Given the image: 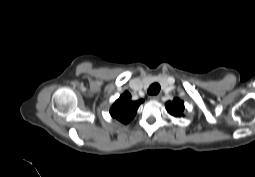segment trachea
I'll return each instance as SVG.
<instances>
[{
  "mask_svg": "<svg viewBox=\"0 0 255 177\" xmlns=\"http://www.w3.org/2000/svg\"><path fill=\"white\" fill-rule=\"evenodd\" d=\"M159 91L160 85L158 83H153L152 85H150L147 92L149 95H157Z\"/></svg>",
  "mask_w": 255,
  "mask_h": 177,
  "instance_id": "trachea-1",
  "label": "trachea"
}]
</instances>
